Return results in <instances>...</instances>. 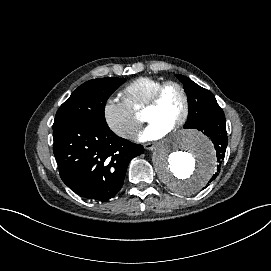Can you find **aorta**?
Segmentation results:
<instances>
[{
	"mask_svg": "<svg viewBox=\"0 0 271 271\" xmlns=\"http://www.w3.org/2000/svg\"><path fill=\"white\" fill-rule=\"evenodd\" d=\"M152 161L159 178L179 195L199 192L217 164L210 141L194 130H181L164 139L154 148Z\"/></svg>",
	"mask_w": 271,
	"mask_h": 271,
	"instance_id": "1",
	"label": "aorta"
}]
</instances>
